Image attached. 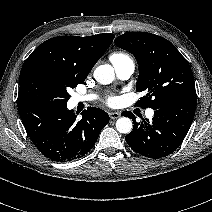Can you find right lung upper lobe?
<instances>
[{
  "label": "right lung upper lobe",
  "instance_id": "obj_1",
  "mask_svg": "<svg viewBox=\"0 0 212 212\" xmlns=\"http://www.w3.org/2000/svg\"><path fill=\"white\" fill-rule=\"evenodd\" d=\"M114 37V34H99L51 38L39 45L25 60L20 80L32 70L43 69L84 82Z\"/></svg>",
  "mask_w": 212,
  "mask_h": 212
}]
</instances>
